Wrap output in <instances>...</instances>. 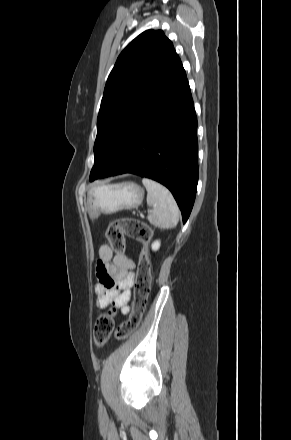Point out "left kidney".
Masks as SVG:
<instances>
[{"mask_svg": "<svg viewBox=\"0 0 291 440\" xmlns=\"http://www.w3.org/2000/svg\"><path fill=\"white\" fill-rule=\"evenodd\" d=\"M160 247V241L156 240L152 243V250L157 251Z\"/></svg>", "mask_w": 291, "mask_h": 440, "instance_id": "5707ae66", "label": "left kidney"}]
</instances>
